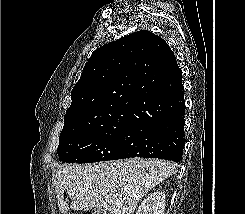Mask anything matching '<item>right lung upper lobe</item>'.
Segmentation results:
<instances>
[{
  "instance_id": "right-lung-upper-lobe-1",
  "label": "right lung upper lobe",
  "mask_w": 245,
  "mask_h": 214,
  "mask_svg": "<svg viewBox=\"0 0 245 214\" xmlns=\"http://www.w3.org/2000/svg\"><path fill=\"white\" fill-rule=\"evenodd\" d=\"M173 57L168 44L146 30L98 48L72 90L64 121L83 128L131 121L147 97L163 91Z\"/></svg>"
}]
</instances>
